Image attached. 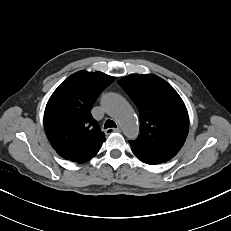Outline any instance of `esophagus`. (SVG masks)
<instances>
[{
    "label": "esophagus",
    "mask_w": 231,
    "mask_h": 231,
    "mask_svg": "<svg viewBox=\"0 0 231 231\" xmlns=\"http://www.w3.org/2000/svg\"><path fill=\"white\" fill-rule=\"evenodd\" d=\"M113 132H120V129L119 128H108L105 130L106 134H111Z\"/></svg>",
    "instance_id": "1"
}]
</instances>
